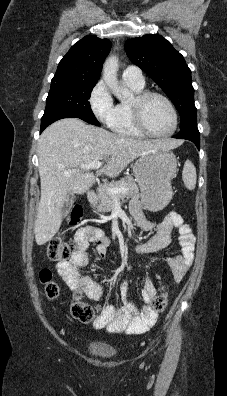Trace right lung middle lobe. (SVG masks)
I'll return each instance as SVG.
<instances>
[{"label":"right lung middle lobe","instance_id":"obj_1","mask_svg":"<svg viewBox=\"0 0 227 396\" xmlns=\"http://www.w3.org/2000/svg\"><path fill=\"white\" fill-rule=\"evenodd\" d=\"M96 83L97 80L55 75L51 81L43 116L69 112L87 123L99 126L100 123L95 118L88 101Z\"/></svg>","mask_w":227,"mask_h":396}]
</instances>
